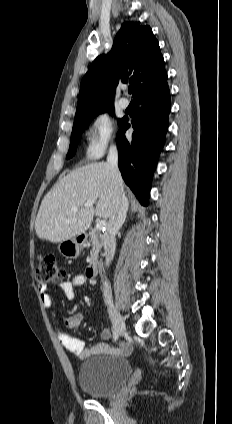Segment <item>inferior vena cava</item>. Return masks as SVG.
Masks as SVG:
<instances>
[{
  "label": "inferior vena cava",
  "mask_w": 232,
  "mask_h": 424,
  "mask_svg": "<svg viewBox=\"0 0 232 424\" xmlns=\"http://www.w3.org/2000/svg\"><path fill=\"white\" fill-rule=\"evenodd\" d=\"M107 164L110 168L111 175L114 181V210L109 218L106 230L103 234V245H104V256H105V265L109 266L113 260L115 249H116V239L115 236L121 226L123 225L126 213L128 210V200L123 193L121 187L122 178L118 169V152L116 146H111L107 156ZM103 296L106 303H112V290L111 285L106 279L103 283Z\"/></svg>",
  "instance_id": "1"
}]
</instances>
